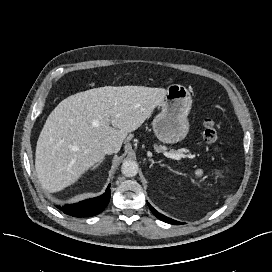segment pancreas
Masks as SVG:
<instances>
[{
    "label": "pancreas",
    "mask_w": 272,
    "mask_h": 272,
    "mask_svg": "<svg viewBox=\"0 0 272 272\" xmlns=\"http://www.w3.org/2000/svg\"><path fill=\"white\" fill-rule=\"evenodd\" d=\"M154 148L158 152H163V151H165L167 149L165 146H162V145H159V146L155 145ZM172 153H179V152L176 151V150H172Z\"/></svg>",
    "instance_id": "1"
}]
</instances>
